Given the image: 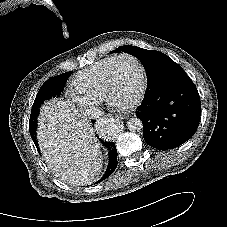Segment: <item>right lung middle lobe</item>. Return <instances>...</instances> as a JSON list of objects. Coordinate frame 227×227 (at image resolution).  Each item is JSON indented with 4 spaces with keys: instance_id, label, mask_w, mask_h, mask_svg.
Wrapping results in <instances>:
<instances>
[{
    "instance_id": "1",
    "label": "right lung middle lobe",
    "mask_w": 227,
    "mask_h": 227,
    "mask_svg": "<svg viewBox=\"0 0 227 227\" xmlns=\"http://www.w3.org/2000/svg\"><path fill=\"white\" fill-rule=\"evenodd\" d=\"M71 73L72 71H69V72L57 75L55 77L49 78L41 86L35 98V101L33 103V107L31 110L30 119H29V132L38 151H39V147H38V141L36 138V127H37V117L39 114V107L45 100H48L51 97L60 96L64 88V85Z\"/></svg>"
}]
</instances>
